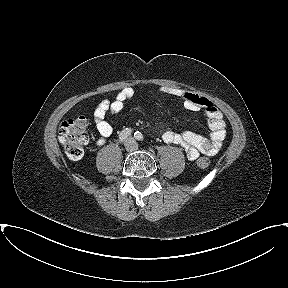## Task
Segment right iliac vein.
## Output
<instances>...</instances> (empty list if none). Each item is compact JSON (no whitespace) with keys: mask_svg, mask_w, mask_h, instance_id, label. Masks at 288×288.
<instances>
[{"mask_svg":"<svg viewBox=\"0 0 288 288\" xmlns=\"http://www.w3.org/2000/svg\"><path fill=\"white\" fill-rule=\"evenodd\" d=\"M126 149L127 150H131L132 149V144H131V142L130 141H127V143H126Z\"/></svg>","mask_w":288,"mask_h":288,"instance_id":"63e3f726","label":"right iliac vein"}]
</instances>
